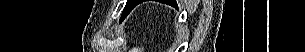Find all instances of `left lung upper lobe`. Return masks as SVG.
<instances>
[{
	"instance_id": "left-lung-upper-lobe-1",
	"label": "left lung upper lobe",
	"mask_w": 305,
	"mask_h": 52,
	"mask_svg": "<svg viewBox=\"0 0 305 52\" xmlns=\"http://www.w3.org/2000/svg\"><path fill=\"white\" fill-rule=\"evenodd\" d=\"M138 0H128L126 3V6L122 12L121 20H123L130 12L131 10L137 5ZM168 4H175V2H170Z\"/></svg>"
}]
</instances>
